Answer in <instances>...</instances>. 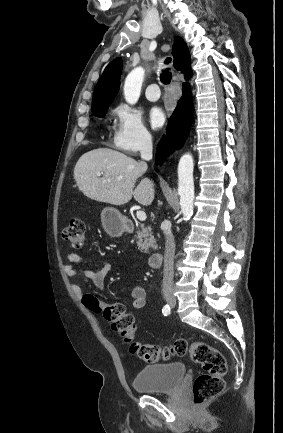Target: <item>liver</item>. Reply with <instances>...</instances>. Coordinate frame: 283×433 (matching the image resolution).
<instances>
[{
	"instance_id": "6515ba94",
	"label": "liver",
	"mask_w": 283,
	"mask_h": 433,
	"mask_svg": "<svg viewBox=\"0 0 283 433\" xmlns=\"http://www.w3.org/2000/svg\"><path fill=\"white\" fill-rule=\"evenodd\" d=\"M146 162H137L131 156L112 148H95L80 156L74 166V178L85 196L110 204H125L134 196L140 204L154 200V184L150 178H137L146 172ZM96 172H103L98 176ZM118 176H122L117 180Z\"/></svg>"
}]
</instances>
